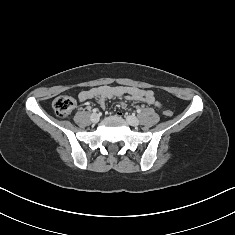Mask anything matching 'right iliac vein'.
<instances>
[{
  "label": "right iliac vein",
  "instance_id": "1",
  "mask_svg": "<svg viewBox=\"0 0 235 235\" xmlns=\"http://www.w3.org/2000/svg\"><path fill=\"white\" fill-rule=\"evenodd\" d=\"M91 121H92L93 123H97V122L99 121V115L96 114V113H93V114L91 115Z\"/></svg>",
  "mask_w": 235,
  "mask_h": 235
}]
</instances>
